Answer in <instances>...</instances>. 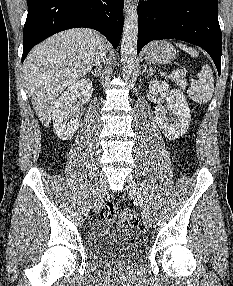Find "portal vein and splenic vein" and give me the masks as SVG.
Returning <instances> with one entry per match:
<instances>
[{"label":"portal vein and splenic vein","instance_id":"portal-vein-and-splenic-vein-1","mask_svg":"<svg viewBox=\"0 0 233 286\" xmlns=\"http://www.w3.org/2000/svg\"><path fill=\"white\" fill-rule=\"evenodd\" d=\"M180 76H186V72L180 71V70H176L174 72L173 75H171V77H180ZM191 81H193V79H191Z\"/></svg>","mask_w":233,"mask_h":286}]
</instances>
